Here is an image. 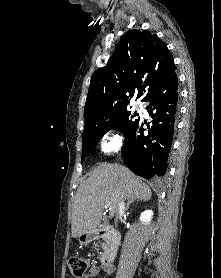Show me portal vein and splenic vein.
<instances>
[{
  "instance_id": "18ae733b",
  "label": "portal vein and splenic vein",
  "mask_w": 221,
  "mask_h": 278,
  "mask_svg": "<svg viewBox=\"0 0 221 278\" xmlns=\"http://www.w3.org/2000/svg\"><path fill=\"white\" fill-rule=\"evenodd\" d=\"M109 206H110V203H107L106 207H108V208H109Z\"/></svg>"
}]
</instances>
